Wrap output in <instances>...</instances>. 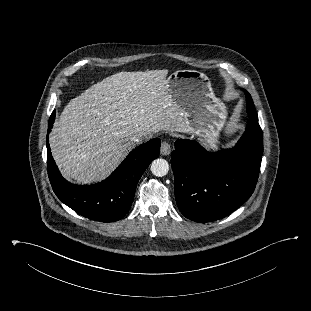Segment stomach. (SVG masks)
<instances>
[{"label":"stomach","mask_w":311,"mask_h":311,"mask_svg":"<svg viewBox=\"0 0 311 311\" xmlns=\"http://www.w3.org/2000/svg\"><path fill=\"white\" fill-rule=\"evenodd\" d=\"M169 94L185 112L192 132L216 147L227 110L214 95L207 75L196 70H177L167 78Z\"/></svg>","instance_id":"stomach-1"}]
</instances>
